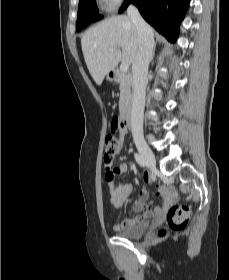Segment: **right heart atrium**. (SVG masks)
I'll use <instances>...</instances> for the list:
<instances>
[{
    "label": "right heart atrium",
    "mask_w": 229,
    "mask_h": 280,
    "mask_svg": "<svg viewBox=\"0 0 229 280\" xmlns=\"http://www.w3.org/2000/svg\"><path fill=\"white\" fill-rule=\"evenodd\" d=\"M125 0H99L102 10L105 12H112L120 7Z\"/></svg>",
    "instance_id": "1"
}]
</instances>
